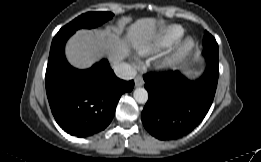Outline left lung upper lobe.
<instances>
[{"label":"left lung upper lobe","instance_id":"1","mask_svg":"<svg viewBox=\"0 0 261 162\" xmlns=\"http://www.w3.org/2000/svg\"><path fill=\"white\" fill-rule=\"evenodd\" d=\"M203 46L208 47L210 49H218L216 40L207 31H205V33H204Z\"/></svg>","mask_w":261,"mask_h":162}]
</instances>
